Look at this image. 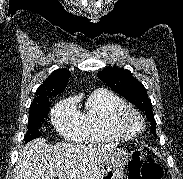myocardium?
<instances>
[{
	"label": "myocardium",
	"mask_w": 183,
	"mask_h": 179,
	"mask_svg": "<svg viewBox=\"0 0 183 179\" xmlns=\"http://www.w3.org/2000/svg\"><path fill=\"white\" fill-rule=\"evenodd\" d=\"M130 116H133L138 120V129L132 130L128 127L127 120ZM114 125L120 133L129 137H134L139 135L144 130L145 120L142 114L137 109L127 106L116 113L114 117Z\"/></svg>",
	"instance_id": "obj_1"
}]
</instances>
